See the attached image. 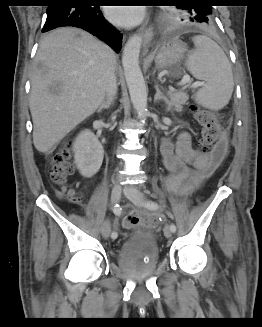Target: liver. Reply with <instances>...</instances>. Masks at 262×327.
Masks as SVG:
<instances>
[{
	"instance_id": "1",
	"label": "liver",
	"mask_w": 262,
	"mask_h": 327,
	"mask_svg": "<svg viewBox=\"0 0 262 327\" xmlns=\"http://www.w3.org/2000/svg\"><path fill=\"white\" fill-rule=\"evenodd\" d=\"M116 56L109 46L76 28L50 32L39 45L29 107L33 144L49 153L103 103Z\"/></svg>"
}]
</instances>
